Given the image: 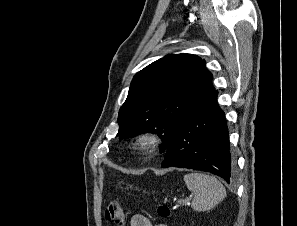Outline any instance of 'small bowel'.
<instances>
[{
  "instance_id": "small-bowel-1",
  "label": "small bowel",
  "mask_w": 297,
  "mask_h": 226,
  "mask_svg": "<svg viewBox=\"0 0 297 226\" xmlns=\"http://www.w3.org/2000/svg\"><path fill=\"white\" fill-rule=\"evenodd\" d=\"M130 226H153V225L147 217L140 214H136L131 217ZM156 226H167V225L158 224Z\"/></svg>"
}]
</instances>
